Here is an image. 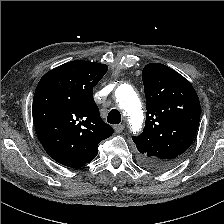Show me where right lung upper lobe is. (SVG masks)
<instances>
[{"instance_id":"right-lung-upper-lobe-1","label":"right lung upper lobe","mask_w":224,"mask_h":224,"mask_svg":"<svg viewBox=\"0 0 224 224\" xmlns=\"http://www.w3.org/2000/svg\"><path fill=\"white\" fill-rule=\"evenodd\" d=\"M105 64L76 60L47 72L33 97V122L39 140L58 163L80 168L98 154V144L114 130L100 117L93 88Z\"/></svg>"}]
</instances>
